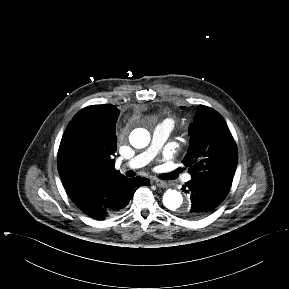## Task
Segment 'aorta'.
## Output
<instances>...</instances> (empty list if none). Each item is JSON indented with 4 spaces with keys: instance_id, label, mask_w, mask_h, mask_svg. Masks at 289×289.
<instances>
[{
    "instance_id": "762f6f07",
    "label": "aorta",
    "mask_w": 289,
    "mask_h": 289,
    "mask_svg": "<svg viewBox=\"0 0 289 289\" xmlns=\"http://www.w3.org/2000/svg\"><path fill=\"white\" fill-rule=\"evenodd\" d=\"M150 142V134L147 130L139 128L130 137V143L135 148H144ZM163 205L171 210L187 211L189 209V204L183 202V197L181 193L177 190L168 189L163 195Z\"/></svg>"
}]
</instances>
